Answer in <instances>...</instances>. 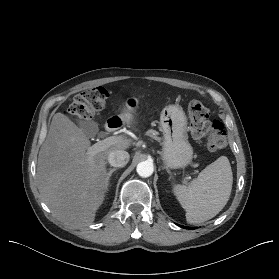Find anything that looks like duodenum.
<instances>
[{
    "instance_id": "1",
    "label": "duodenum",
    "mask_w": 279,
    "mask_h": 279,
    "mask_svg": "<svg viewBox=\"0 0 279 279\" xmlns=\"http://www.w3.org/2000/svg\"><path fill=\"white\" fill-rule=\"evenodd\" d=\"M120 123V120L117 118H111L110 120H108L107 125H106V130L111 133L114 132L116 130V128L118 127Z\"/></svg>"
}]
</instances>
